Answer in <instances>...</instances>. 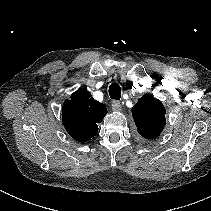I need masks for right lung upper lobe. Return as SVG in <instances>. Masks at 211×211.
<instances>
[{"instance_id": "cb5924a9", "label": "right lung upper lobe", "mask_w": 211, "mask_h": 211, "mask_svg": "<svg viewBox=\"0 0 211 211\" xmlns=\"http://www.w3.org/2000/svg\"><path fill=\"white\" fill-rule=\"evenodd\" d=\"M106 114L105 105L94 100L90 92L82 88L64 102L63 125L73 139L84 143L96 135L97 123H100Z\"/></svg>"}]
</instances>
